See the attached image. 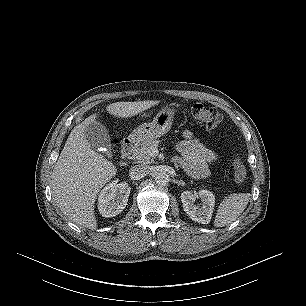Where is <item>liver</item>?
I'll list each match as a JSON object with an SVG mask.
<instances>
[{"mask_svg": "<svg viewBox=\"0 0 306 306\" xmlns=\"http://www.w3.org/2000/svg\"><path fill=\"white\" fill-rule=\"evenodd\" d=\"M159 101L116 102L106 110L113 116H135ZM98 114L87 117L74 127L64 145L52 173L51 189L56 205L64 215L79 226L97 228L94 203L100 189L112 179L116 167L100 153L94 151L84 131L96 121Z\"/></svg>", "mask_w": 306, "mask_h": 306, "instance_id": "liver-1", "label": "liver"}]
</instances>
